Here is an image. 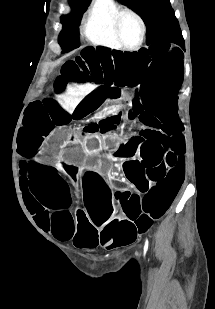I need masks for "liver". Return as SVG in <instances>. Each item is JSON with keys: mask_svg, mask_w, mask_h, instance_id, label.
I'll return each instance as SVG.
<instances>
[{"mask_svg": "<svg viewBox=\"0 0 215 309\" xmlns=\"http://www.w3.org/2000/svg\"><path fill=\"white\" fill-rule=\"evenodd\" d=\"M98 84H93V82H73V84H67L65 92L63 94H56V100L62 104L65 110L68 112H73L77 104L92 92Z\"/></svg>", "mask_w": 215, "mask_h": 309, "instance_id": "obj_1", "label": "liver"}]
</instances>
